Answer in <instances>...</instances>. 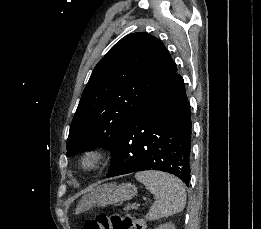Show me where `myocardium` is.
Segmentation results:
<instances>
[{"instance_id":"myocardium-1","label":"myocardium","mask_w":261,"mask_h":229,"mask_svg":"<svg viewBox=\"0 0 261 229\" xmlns=\"http://www.w3.org/2000/svg\"><path fill=\"white\" fill-rule=\"evenodd\" d=\"M104 158L105 153L100 147H89L80 154L78 165L82 170L91 172L97 170L101 166Z\"/></svg>"}]
</instances>
